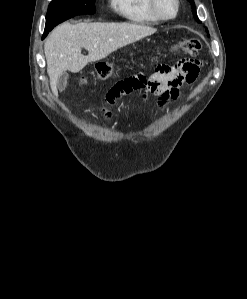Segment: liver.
Instances as JSON below:
<instances>
[{"instance_id":"obj_1","label":"liver","mask_w":247,"mask_h":299,"mask_svg":"<svg viewBox=\"0 0 247 299\" xmlns=\"http://www.w3.org/2000/svg\"><path fill=\"white\" fill-rule=\"evenodd\" d=\"M157 29L132 23H63L44 44L50 86L57 96L60 74L77 73L89 62L104 59L112 52L154 34ZM85 48L88 55L81 51Z\"/></svg>"}]
</instances>
